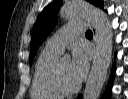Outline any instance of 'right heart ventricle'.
Segmentation results:
<instances>
[{
	"label": "right heart ventricle",
	"instance_id": "obj_1",
	"mask_svg": "<svg viewBox=\"0 0 128 99\" xmlns=\"http://www.w3.org/2000/svg\"><path fill=\"white\" fill-rule=\"evenodd\" d=\"M60 53L45 47L39 54L33 73L31 97L33 99H59L63 96L50 81L53 67L58 61Z\"/></svg>",
	"mask_w": 128,
	"mask_h": 99
}]
</instances>
